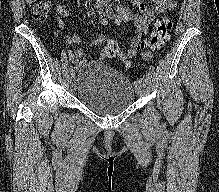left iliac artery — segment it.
I'll return each mask as SVG.
<instances>
[{
  "mask_svg": "<svg viewBox=\"0 0 219 192\" xmlns=\"http://www.w3.org/2000/svg\"><path fill=\"white\" fill-rule=\"evenodd\" d=\"M146 77H147V78H149V79H151V78H152V74H151V72H150V71L146 73Z\"/></svg>",
  "mask_w": 219,
  "mask_h": 192,
  "instance_id": "44dca946",
  "label": "left iliac artery"
}]
</instances>
